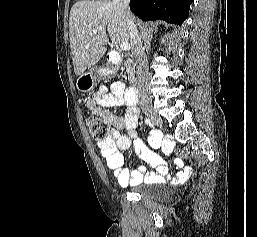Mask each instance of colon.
<instances>
[{
    "instance_id": "1",
    "label": "colon",
    "mask_w": 257,
    "mask_h": 237,
    "mask_svg": "<svg viewBox=\"0 0 257 237\" xmlns=\"http://www.w3.org/2000/svg\"><path fill=\"white\" fill-rule=\"evenodd\" d=\"M88 127L92 137L95 140L104 141L109 135V124L104 119L98 117H90L88 119Z\"/></svg>"
}]
</instances>
